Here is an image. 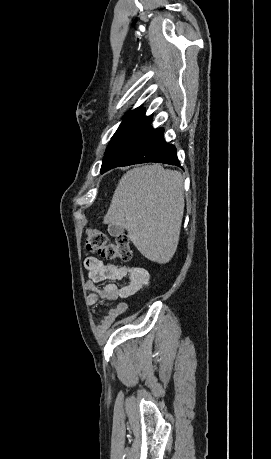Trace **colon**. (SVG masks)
I'll use <instances>...</instances> for the list:
<instances>
[{"mask_svg":"<svg viewBox=\"0 0 271 459\" xmlns=\"http://www.w3.org/2000/svg\"><path fill=\"white\" fill-rule=\"evenodd\" d=\"M86 234V247L88 250L98 253L108 260L120 259L129 261L132 259L133 250L130 239L126 234L119 235L110 241L108 236L100 229L88 228Z\"/></svg>","mask_w":271,"mask_h":459,"instance_id":"5ec220e1","label":"colon"}]
</instances>
